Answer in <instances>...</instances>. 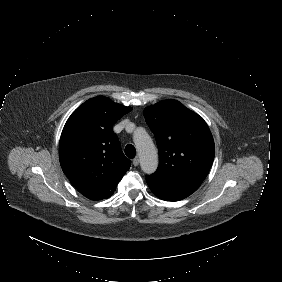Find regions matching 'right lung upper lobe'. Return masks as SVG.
<instances>
[{
	"instance_id": "1",
	"label": "right lung upper lobe",
	"mask_w": 282,
	"mask_h": 282,
	"mask_svg": "<svg viewBox=\"0 0 282 282\" xmlns=\"http://www.w3.org/2000/svg\"><path fill=\"white\" fill-rule=\"evenodd\" d=\"M131 110L97 96L78 107L63 128L59 142L62 170L91 200L110 197L130 168L112 126Z\"/></svg>"
}]
</instances>
